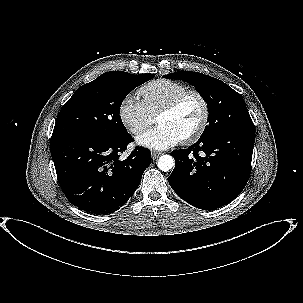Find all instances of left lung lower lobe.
I'll list each match as a JSON object with an SVG mask.
<instances>
[{
	"label": "left lung lower lobe",
	"instance_id": "left-lung-lower-lobe-1",
	"mask_svg": "<svg viewBox=\"0 0 303 303\" xmlns=\"http://www.w3.org/2000/svg\"><path fill=\"white\" fill-rule=\"evenodd\" d=\"M254 142L255 129H237L172 151L176 164L168 177L170 186L184 201L203 210L228 204L248 182Z\"/></svg>",
	"mask_w": 303,
	"mask_h": 303
}]
</instances>
